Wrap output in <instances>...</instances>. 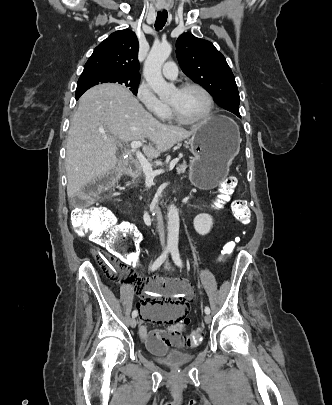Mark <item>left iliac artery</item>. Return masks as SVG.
I'll return each mask as SVG.
<instances>
[{"label": "left iliac artery", "instance_id": "obj_1", "mask_svg": "<svg viewBox=\"0 0 332 405\" xmlns=\"http://www.w3.org/2000/svg\"><path fill=\"white\" fill-rule=\"evenodd\" d=\"M171 255H172V259H173L174 263L177 266L182 267L183 263H182V260L180 259V254H179V250L177 247L171 248ZM204 311L206 314H210V308L208 306L205 307Z\"/></svg>", "mask_w": 332, "mask_h": 405}]
</instances>
